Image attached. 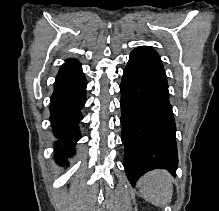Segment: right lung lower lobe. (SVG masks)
<instances>
[{
	"label": "right lung lower lobe",
	"instance_id": "obj_1",
	"mask_svg": "<svg viewBox=\"0 0 219 211\" xmlns=\"http://www.w3.org/2000/svg\"><path fill=\"white\" fill-rule=\"evenodd\" d=\"M86 80L80 63L67 60L59 70L50 101L51 126L55 142L56 162L68 165L67 158L75 154V143L80 138L79 120L86 102Z\"/></svg>",
	"mask_w": 219,
	"mask_h": 211
}]
</instances>
